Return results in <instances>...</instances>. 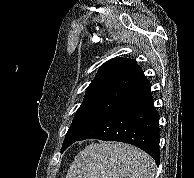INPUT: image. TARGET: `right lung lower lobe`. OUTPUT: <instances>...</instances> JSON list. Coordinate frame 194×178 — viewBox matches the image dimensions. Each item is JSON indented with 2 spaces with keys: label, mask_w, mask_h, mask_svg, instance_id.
<instances>
[{
  "label": "right lung lower lobe",
  "mask_w": 194,
  "mask_h": 178,
  "mask_svg": "<svg viewBox=\"0 0 194 178\" xmlns=\"http://www.w3.org/2000/svg\"><path fill=\"white\" fill-rule=\"evenodd\" d=\"M85 139L129 143L147 152L159 165V114L153 105L152 94L124 103L77 141Z\"/></svg>",
  "instance_id": "98d812e1"
}]
</instances>
